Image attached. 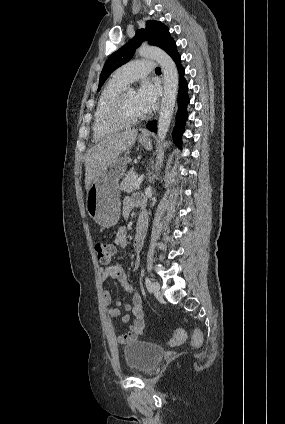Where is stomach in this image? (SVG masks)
Wrapping results in <instances>:
<instances>
[{"label": "stomach", "instance_id": "stomach-1", "mask_svg": "<svg viewBox=\"0 0 285 424\" xmlns=\"http://www.w3.org/2000/svg\"><path fill=\"white\" fill-rule=\"evenodd\" d=\"M139 143L152 148L150 137L139 136ZM126 173V159L119 157L110 162L87 190L86 210L101 227L114 226L120 218L119 181Z\"/></svg>", "mask_w": 285, "mask_h": 424}]
</instances>
